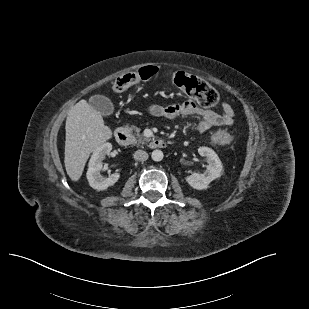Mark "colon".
<instances>
[{
    "instance_id": "colon-1",
    "label": "colon",
    "mask_w": 309,
    "mask_h": 309,
    "mask_svg": "<svg viewBox=\"0 0 309 309\" xmlns=\"http://www.w3.org/2000/svg\"><path fill=\"white\" fill-rule=\"evenodd\" d=\"M157 72V67L146 66L139 70L126 73L114 81L112 89L114 92H122L131 85L151 79L157 74ZM173 83L177 88L184 91L195 102L203 107H213L219 102V93L208 83L199 80L194 76L179 72L173 77ZM233 138L232 135L224 133L216 136L214 140L230 142Z\"/></svg>"
}]
</instances>
